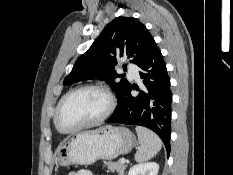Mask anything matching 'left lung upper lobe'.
I'll return each mask as SVG.
<instances>
[{
    "label": "left lung upper lobe",
    "mask_w": 233,
    "mask_h": 175,
    "mask_svg": "<svg viewBox=\"0 0 233 175\" xmlns=\"http://www.w3.org/2000/svg\"><path fill=\"white\" fill-rule=\"evenodd\" d=\"M155 45L149 30L138 19L117 17L77 60L64 84L86 79L104 80L116 93L119 105L131 85L123 76L120 81H116L121 76L114 69L117 59L126 56L131 59L130 62L139 66Z\"/></svg>",
    "instance_id": "obj_1"
}]
</instances>
